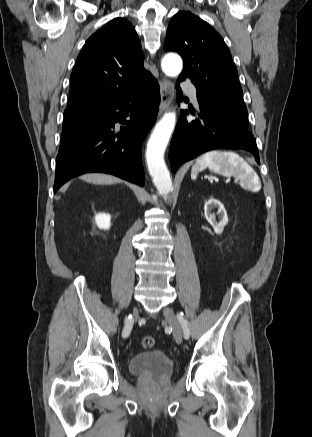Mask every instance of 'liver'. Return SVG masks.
<instances>
[{
  "label": "liver",
  "instance_id": "1",
  "mask_svg": "<svg viewBox=\"0 0 312 437\" xmlns=\"http://www.w3.org/2000/svg\"><path fill=\"white\" fill-rule=\"evenodd\" d=\"M81 179L83 181H86L88 183L92 184H115L122 182L119 178L107 175V174H99V173H92V174H85L81 176Z\"/></svg>",
  "mask_w": 312,
  "mask_h": 437
}]
</instances>
